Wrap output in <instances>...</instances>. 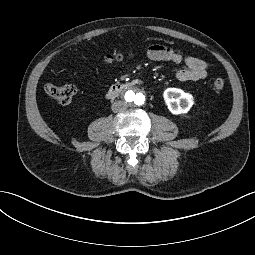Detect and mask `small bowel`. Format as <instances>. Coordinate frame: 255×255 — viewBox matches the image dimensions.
<instances>
[{"mask_svg":"<svg viewBox=\"0 0 255 255\" xmlns=\"http://www.w3.org/2000/svg\"><path fill=\"white\" fill-rule=\"evenodd\" d=\"M146 56L153 61L183 63L185 69L179 70L176 77L180 81H199L205 79L208 63L193 56H183L181 53L162 44H152L146 50Z\"/></svg>","mask_w":255,"mask_h":255,"instance_id":"1","label":"small bowel"}]
</instances>
